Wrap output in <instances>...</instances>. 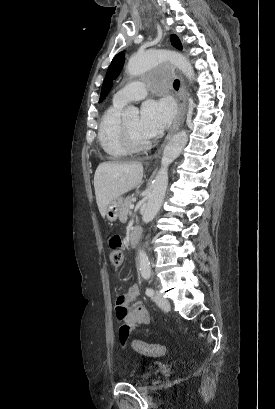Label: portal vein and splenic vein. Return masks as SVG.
<instances>
[{
    "instance_id": "18ae733b",
    "label": "portal vein and splenic vein",
    "mask_w": 275,
    "mask_h": 409,
    "mask_svg": "<svg viewBox=\"0 0 275 409\" xmlns=\"http://www.w3.org/2000/svg\"><path fill=\"white\" fill-rule=\"evenodd\" d=\"M130 209H134V205H130Z\"/></svg>"
}]
</instances>
